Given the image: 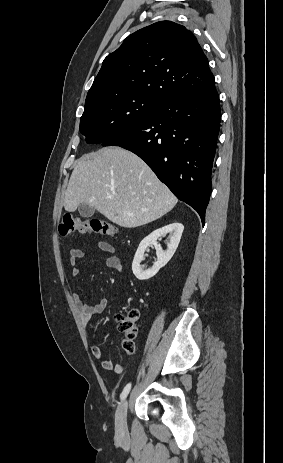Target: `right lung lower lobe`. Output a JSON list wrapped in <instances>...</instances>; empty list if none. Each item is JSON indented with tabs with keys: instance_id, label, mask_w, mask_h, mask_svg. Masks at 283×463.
Masks as SVG:
<instances>
[{
	"instance_id": "right-lung-lower-lobe-1",
	"label": "right lung lower lobe",
	"mask_w": 283,
	"mask_h": 463,
	"mask_svg": "<svg viewBox=\"0 0 283 463\" xmlns=\"http://www.w3.org/2000/svg\"><path fill=\"white\" fill-rule=\"evenodd\" d=\"M220 116L214 84L159 102L147 119L102 145L137 154L178 199L198 212L204 224Z\"/></svg>"
}]
</instances>
